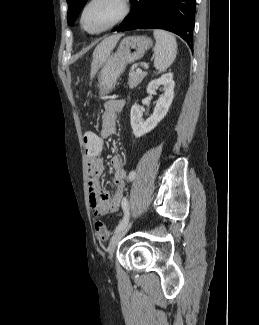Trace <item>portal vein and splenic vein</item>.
I'll list each match as a JSON object with an SVG mask.
<instances>
[{"label": "portal vein and splenic vein", "instance_id": "18ae733b", "mask_svg": "<svg viewBox=\"0 0 259 325\" xmlns=\"http://www.w3.org/2000/svg\"><path fill=\"white\" fill-rule=\"evenodd\" d=\"M136 72H137V73H141L142 70H141L140 68H138V69L136 70Z\"/></svg>", "mask_w": 259, "mask_h": 325}]
</instances>
